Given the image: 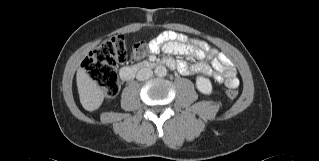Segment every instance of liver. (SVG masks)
<instances>
[{
	"label": "liver",
	"instance_id": "6515ba94",
	"mask_svg": "<svg viewBox=\"0 0 319 161\" xmlns=\"http://www.w3.org/2000/svg\"><path fill=\"white\" fill-rule=\"evenodd\" d=\"M77 88L80 102L87 111L98 109L103 100L104 92L84 68H79L76 75Z\"/></svg>",
	"mask_w": 319,
	"mask_h": 161
}]
</instances>
